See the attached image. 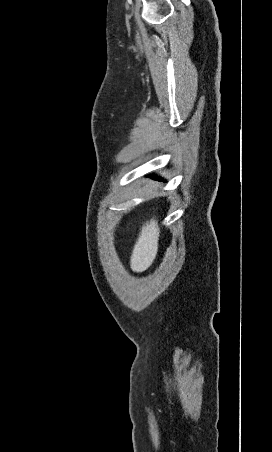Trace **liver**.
Instances as JSON below:
<instances>
[{"instance_id": "1", "label": "liver", "mask_w": 272, "mask_h": 452, "mask_svg": "<svg viewBox=\"0 0 272 452\" xmlns=\"http://www.w3.org/2000/svg\"><path fill=\"white\" fill-rule=\"evenodd\" d=\"M159 234L160 229L155 219L142 226L130 259L134 272H143L152 264L158 250Z\"/></svg>"}]
</instances>
